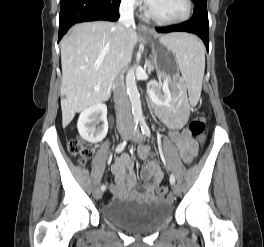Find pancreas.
Returning a JSON list of instances; mask_svg holds the SVG:
<instances>
[{"label":"pancreas","mask_w":264,"mask_h":247,"mask_svg":"<svg viewBox=\"0 0 264 247\" xmlns=\"http://www.w3.org/2000/svg\"><path fill=\"white\" fill-rule=\"evenodd\" d=\"M157 92H160V88H155Z\"/></svg>","instance_id":"obj_1"}]
</instances>
